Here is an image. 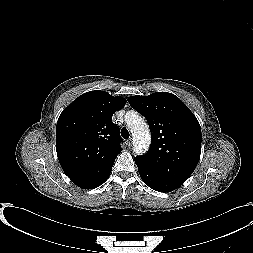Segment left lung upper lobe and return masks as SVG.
<instances>
[{
	"label": "left lung upper lobe",
	"mask_w": 253,
	"mask_h": 253,
	"mask_svg": "<svg viewBox=\"0 0 253 253\" xmlns=\"http://www.w3.org/2000/svg\"><path fill=\"white\" fill-rule=\"evenodd\" d=\"M128 102L146 118L151 131L150 149L137 161L158 176L183 184L201 153V128L194 114L167 92L131 96Z\"/></svg>",
	"instance_id": "1"
}]
</instances>
